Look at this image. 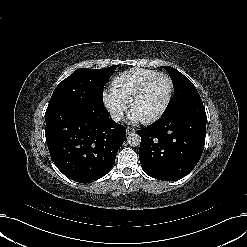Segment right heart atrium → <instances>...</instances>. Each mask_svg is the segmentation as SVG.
<instances>
[{"instance_id": "right-heart-atrium-1", "label": "right heart atrium", "mask_w": 247, "mask_h": 247, "mask_svg": "<svg viewBox=\"0 0 247 247\" xmlns=\"http://www.w3.org/2000/svg\"><path fill=\"white\" fill-rule=\"evenodd\" d=\"M103 100L105 106L115 118L120 119L123 116V113L126 110L125 103L118 99L113 92L105 93Z\"/></svg>"}]
</instances>
